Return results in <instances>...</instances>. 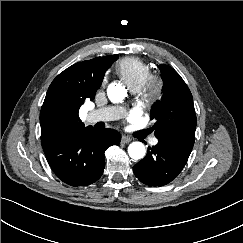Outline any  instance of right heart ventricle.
Here are the masks:
<instances>
[{"label":"right heart ventricle","instance_id":"obj_1","mask_svg":"<svg viewBox=\"0 0 243 243\" xmlns=\"http://www.w3.org/2000/svg\"><path fill=\"white\" fill-rule=\"evenodd\" d=\"M116 72L132 91H139L152 75L150 67L143 61L126 57L116 65Z\"/></svg>","mask_w":243,"mask_h":243}]
</instances>
